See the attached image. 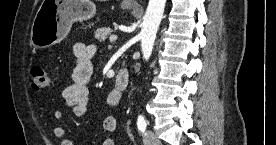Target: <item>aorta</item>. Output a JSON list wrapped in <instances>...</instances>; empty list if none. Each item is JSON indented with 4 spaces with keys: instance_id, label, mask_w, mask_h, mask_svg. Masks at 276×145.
<instances>
[{
    "instance_id": "762f6f07",
    "label": "aorta",
    "mask_w": 276,
    "mask_h": 145,
    "mask_svg": "<svg viewBox=\"0 0 276 145\" xmlns=\"http://www.w3.org/2000/svg\"><path fill=\"white\" fill-rule=\"evenodd\" d=\"M166 0H149L140 32L143 58L148 60L152 54L156 33L163 18Z\"/></svg>"
}]
</instances>
